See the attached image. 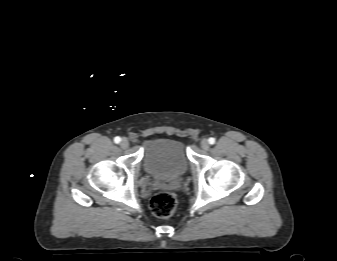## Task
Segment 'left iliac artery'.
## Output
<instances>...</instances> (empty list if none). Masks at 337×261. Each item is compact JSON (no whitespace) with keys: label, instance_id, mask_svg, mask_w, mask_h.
<instances>
[{"label":"left iliac artery","instance_id":"left-iliac-artery-1","mask_svg":"<svg viewBox=\"0 0 337 261\" xmlns=\"http://www.w3.org/2000/svg\"><path fill=\"white\" fill-rule=\"evenodd\" d=\"M208 142L210 144H214L215 143V138H213V137L209 138Z\"/></svg>","mask_w":337,"mask_h":261}]
</instances>
